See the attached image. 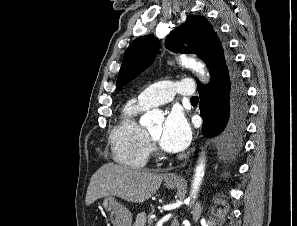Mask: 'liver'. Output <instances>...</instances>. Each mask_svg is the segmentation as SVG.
<instances>
[{"label": "liver", "instance_id": "6515ba94", "mask_svg": "<svg viewBox=\"0 0 297 226\" xmlns=\"http://www.w3.org/2000/svg\"><path fill=\"white\" fill-rule=\"evenodd\" d=\"M164 175L139 171L113 163L101 166L91 177L85 203L117 196L133 203H143L159 189Z\"/></svg>", "mask_w": 297, "mask_h": 226}]
</instances>
